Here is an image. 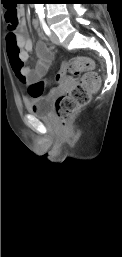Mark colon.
I'll list each match as a JSON object with an SVG mask.
<instances>
[{"instance_id":"obj_1","label":"colon","mask_w":122,"mask_h":257,"mask_svg":"<svg viewBox=\"0 0 122 257\" xmlns=\"http://www.w3.org/2000/svg\"><path fill=\"white\" fill-rule=\"evenodd\" d=\"M3 10H7L6 21L8 26L11 29L15 28L18 23V5H3ZM93 68L94 62L88 57L77 56L71 58L63 62L60 70H55V74L50 76L49 79H38V82L28 83V98H47L48 94H51V90H60L58 84H64L66 75L85 72L80 83L56 99V115L62 124L66 125L70 118L89 102L91 94L100 86V77L93 71Z\"/></svg>"}]
</instances>
